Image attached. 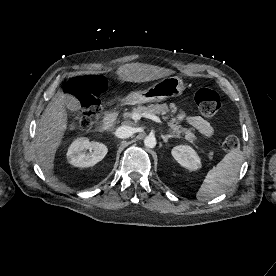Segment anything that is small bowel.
Segmentation results:
<instances>
[{
	"instance_id": "obj_1",
	"label": "small bowel",
	"mask_w": 276,
	"mask_h": 276,
	"mask_svg": "<svg viewBox=\"0 0 276 276\" xmlns=\"http://www.w3.org/2000/svg\"><path fill=\"white\" fill-rule=\"evenodd\" d=\"M176 120L187 122L206 137H211L214 133V129L210 122L201 116H188L183 111L179 110L176 114Z\"/></svg>"
}]
</instances>
